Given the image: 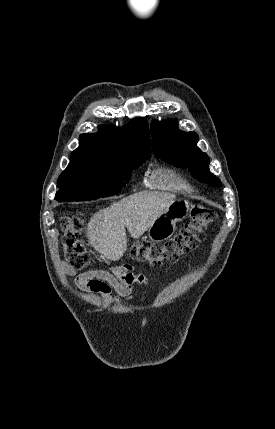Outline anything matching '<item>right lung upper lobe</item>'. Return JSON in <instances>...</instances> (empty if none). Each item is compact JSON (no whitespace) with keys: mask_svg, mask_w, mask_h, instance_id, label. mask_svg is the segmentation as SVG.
Instances as JSON below:
<instances>
[{"mask_svg":"<svg viewBox=\"0 0 275 429\" xmlns=\"http://www.w3.org/2000/svg\"><path fill=\"white\" fill-rule=\"evenodd\" d=\"M151 144L145 118H135L125 126H102L95 134L80 136L79 147L70 161L110 160L128 154L150 155Z\"/></svg>","mask_w":275,"mask_h":429,"instance_id":"obj_1","label":"right lung upper lobe"}]
</instances>
